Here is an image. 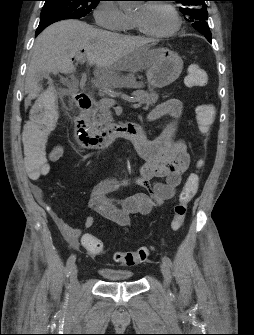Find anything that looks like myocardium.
Instances as JSON below:
<instances>
[{
    "label": "myocardium",
    "instance_id": "1",
    "mask_svg": "<svg viewBox=\"0 0 254 335\" xmlns=\"http://www.w3.org/2000/svg\"><path fill=\"white\" fill-rule=\"evenodd\" d=\"M153 5H162L166 7L172 13L173 18H174L173 27L170 30L166 32H162V33L149 32L143 29V27L134 19L133 21L138 31L142 33L143 35L156 38V39H166V38H169L175 35L181 27V18H180L179 12L176 9V7L173 4H170L165 1H156V2H153Z\"/></svg>",
    "mask_w": 254,
    "mask_h": 335
}]
</instances>
